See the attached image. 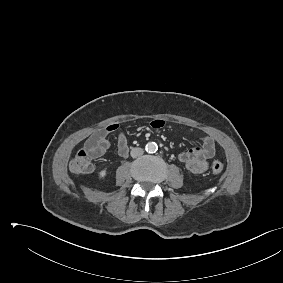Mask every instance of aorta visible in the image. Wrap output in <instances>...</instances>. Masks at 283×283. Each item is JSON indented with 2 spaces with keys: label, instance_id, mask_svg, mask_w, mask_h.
Segmentation results:
<instances>
[{
  "label": "aorta",
  "instance_id": "aorta-1",
  "mask_svg": "<svg viewBox=\"0 0 283 283\" xmlns=\"http://www.w3.org/2000/svg\"><path fill=\"white\" fill-rule=\"evenodd\" d=\"M158 149V146L155 142H149L146 144V151L148 153H155Z\"/></svg>",
  "mask_w": 283,
  "mask_h": 283
}]
</instances>
